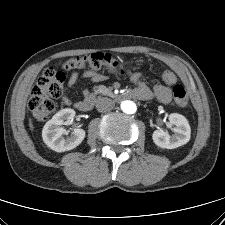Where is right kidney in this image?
Masks as SVG:
<instances>
[{
	"instance_id": "obj_1",
	"label": "right kidney",
	"mask_w": 225,
	"mask_h": 225,
	"mask_svg": "<svg viewBox=\"0 0 225 225\" xmlns=\"http://www.w3.org/2000/svg\"><path fill=\"white\" fill-rule=\"evenodd\" d=\"M75 111L70 108L56 113L43 127L42 138L44 143L56 152L69 151L76 148L85 138L83 129H74L70 137L64 138L68 132L61 127L73 120Z\"/></svg>"
}]
</instances>
